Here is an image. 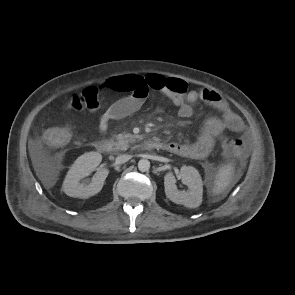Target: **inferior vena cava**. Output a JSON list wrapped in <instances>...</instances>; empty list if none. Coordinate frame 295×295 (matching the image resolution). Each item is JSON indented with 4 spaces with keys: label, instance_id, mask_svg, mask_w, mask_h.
<instances>
[{
    "label": "inferior vena cava",
    "instance_id": "obj_1",
    "mask_svg": "<svg viewBox=\"0 0 295 295\" xmlns=\"http://www.w3.org/2000/svg\"><path fill=\"white\" fill-rule=\"evenodd\" d=\"M130 159H131V155H128V154L119 155L116 158V164H123V163L127 162Z\"/></svg>",
    "mask_w": 295,
    "mask_h": 295
}]
</instances>
